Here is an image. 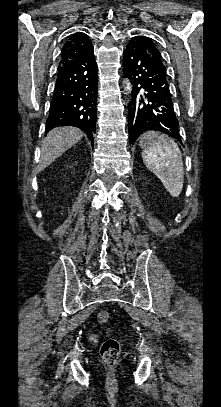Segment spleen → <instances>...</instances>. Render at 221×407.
<instances>
[{
    "label": "spleen",
    "instance_id": "obj_1",
    "mask_svg": "<svg viewBox=\"0 0 221 407\" xmlns=\"http://www.w3.org/2000/svg\"><path fill=\"white\" fill-rule=\"evenodd\" d=\"M143 162L163 183L166 190L178 197L184 183V170L180 149L165 135L156 136L154 142L143 149Z\"/></svg>",
    "mask_w": 221,
    "mask_h": 407
}]
</instances>
